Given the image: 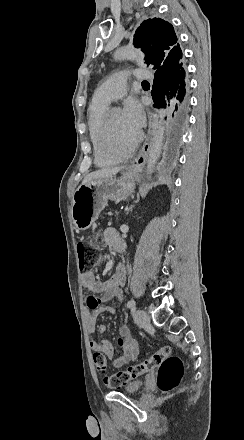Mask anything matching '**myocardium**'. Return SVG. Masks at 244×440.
I'll use <instances>...</instances> for the list:
<instances>
[{
	"label": "myocardium",
	"instance_id": "myocardium-1",
	"mask_svg": "<svg viewBox=\"0 0 244 440\" xmlns=\"http://www.w3.org/2000/svg\"><path fill=\"white\" fill-rule=\"evenodd\" d=\"M119 110H121V108L117 107V106L109 107L106 110L105 114H104L103 123L101 124L102 125L101 128L104 130V132H101L99 134L101 136L100 140L103 141L101 143V146L104 147L103 149L105 150V152L107 154H109V153L111 154L113 152L112 151V147L109 146V143H108L109 139L107 137L109 136L110 129L107 128V127L111 124V115H112V113L115 112V111H119ZM128 145H130L129 141H127L125 145H119L117 147H124V146H128Z\"/></svg>",
	"mask_w": 244,
	"mask_h": 440
}]
</instances>
